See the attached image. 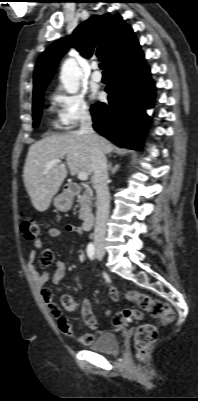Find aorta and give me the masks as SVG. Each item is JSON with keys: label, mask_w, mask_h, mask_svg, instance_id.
Segmentation results:
<instances>
[{"label": "aorta", "mask_w": 198, "mask_h": 401, "mask_svg": "<svg viewBox=\"0 0 198 401\" xmlns=\"http://www.w3.org/2000/svg\"><path fill=\"white\" fill-rule=\"evenodd\" d=\"M60 80L66 92L74 94L79 90V68L74 59H67L61 69Z\"/></svg>", "instance_id": "aorta-1"}]
</instances>
